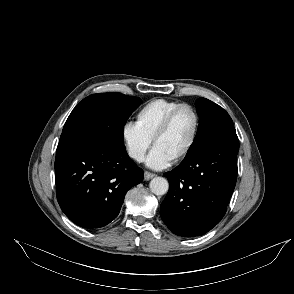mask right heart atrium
I'll return each mask as SVG.
<instances>
[{"label":"right heart atrium","mask_w":294,"mask_h":294,"mask_svg":"<svg viewBox=\"0 0 294 294\" xmlns=\"http://www.w3.org/2000/svg\"><path fill=\"white\" fill-rule=\"evenodd\" d=\"M121 139L127 155L135 162L144 159L152 142V139L133 121H127L122 125Z\"/></svg>","instance_id":"right-heart-atrium-1"}]
</instances>
